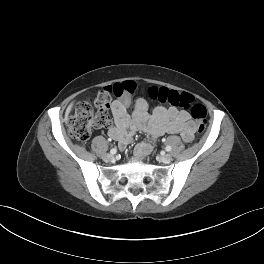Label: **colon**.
I'll return each instance as SVG.
<instances>
[{"instance_id":"1","label":"colon","mask_w":264,"mask_h":264,"mask_svg":"<svg viewBox=\"0 0 264 264\" xmlns=\"http://www.w3.org/2000/svg\"><path fill=\"white\" fill-rule=\"evenodd\" d=\"M133 92L134 84L131 81H124L100 91L92 101L80 102L67 123L69 134L80 142H87L95 128L103 127L109 123V106L112 96L125 100ZM149 94L152 100L161 104L179 109H189L198 131L205 130L206 108L195 102L191 94L158 86L151 87Z\"/></svg>"}]
</instances>
